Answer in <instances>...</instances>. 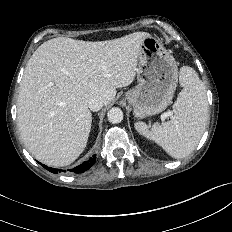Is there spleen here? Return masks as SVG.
Masks as SVG:
<instances>
[{"mask_svg": "<svg viewBox=\"0 0 232 232\" xmlns=\"http://www.w3.org/2000/svg\"><path fill=\"white\" fill-rule=\"evenodd\" d=\"M179 80L183 89L173 105L174 116L161 125L154 124L151 130L143 122L135 124L140 134L176 159L186 157L195 149L208 121L206 90L196 71L183 66Z\"/></svg>", "mask_w": 232, "mask_h": 232, "instance_id": "obj_1", "label": "spleen"}]
</instances>
